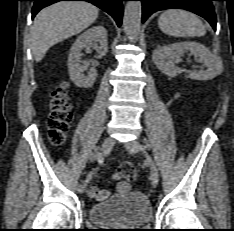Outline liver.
Masks as SVG:
<instances>
[{
    "label": "liver",
    "mask_w": 234,
    "mask_h": 231,
    "mask_svg": "<svg viewBox=\"0 0 234 231\" xmlns=\"http://www.w3.org/2000/svg\"><path fill=\"white\" fill-rule=\"evenodd\" d=\"M98 8L87 2H58L42 9L31 29V49L36 62L53 45L89 27L98 17Z\"/></svg>",
    "instance_id": "obj_1"
}]
</instances>
